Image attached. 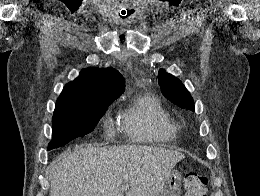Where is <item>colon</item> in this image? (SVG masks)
<instances>
[{"mask_svg": "<svg viewBox=\"0 0 260 196\" xmlns=\"http://www.w3.org/2000/svg\"><path fill=\"white\" fill-rule=\"evenodd\" d=\"M183 183L186 196H206L207 177L195 171H189L184 175Z\"/></svg>", "mask_w": 260, "mask_h": 196, "instance_id": "obj_1", "label": "colon"}]
</instances>
